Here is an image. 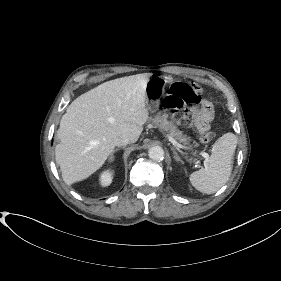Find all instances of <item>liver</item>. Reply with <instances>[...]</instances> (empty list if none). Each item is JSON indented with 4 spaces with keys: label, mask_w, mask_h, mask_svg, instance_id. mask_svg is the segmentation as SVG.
<instances>
[{
    "label": "liver",
    "mask_w": 281,
    "mask_h": 281,
    "mask_svg": "<svg viewBox=\"0 0 281 281\" xmlns=\"http://www.w3.org/2000/svg\"><path fill=\"white\" fill-rule=\"evenodd\" d=\"M147 73L105 82L76 98L62 116L56 163L68 185L96 172L111 155L114 138L135 143L149 113L145 106Z\"/></svg>",
    "instance_id": "1"
}]
</instances>
